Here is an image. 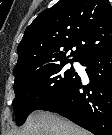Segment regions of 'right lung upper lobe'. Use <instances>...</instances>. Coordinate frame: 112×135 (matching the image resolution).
<instances>
[{"label": "right lung upper lobe", "instance_id": "1", "mask_svg": "<svg viewBox=\"0 0 112 135\" xmlns=\"http://www.w3.org/2000/svg\"><path fill=\"white\" fill-rule=\"evenodd\" d=\"M111 47L112 6L108 0H60L26 28L14 75L27 76L49 63L71 61L67 56L80 62Z\"/></svg>", "mask_w": 112, "mask_h": 135}]
</instances>
